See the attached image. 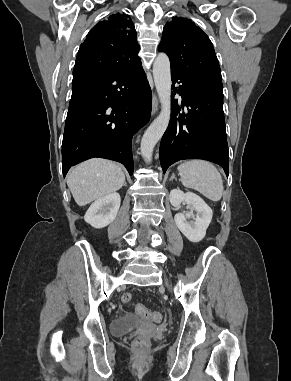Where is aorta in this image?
Here are the masks:
<instances>
[{
    "label": "aorta",
    "mask_w": 291,
    "mask_h": 381,
    "mask_svg": "<svg viewBox=\"0 0 291 381\" xmlns=\"http://www.w3.org/2000/svg\"><path fill=\"white\" fill-rule=\"evenodd\" d=\"M153 77L161 102V112L147 128L141 140V154L146 162L151 161L153 149L166 131L171 116V72L166 54L157 55L153 64Z\"/></svg>",
    "instance_id": "aorta-1"
}]
</instances>
